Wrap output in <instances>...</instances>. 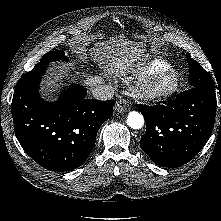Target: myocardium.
<instances>
[{
    "label": "myocardium",
    "instance_id": "obj_1",
    "mask_svg": "<svg viewBox=\"0 0 221 221\" xmlns=\"http://www.w3.org/2000/svg\"><path fill=\"white\" fill-rule=\"evenodd\" d=\"M165 78H169L170 82L164 84ZM180 85L181 76L179 72L169 68L147 75L135 86L134 94L141 100L161 101L175 94Z\"/></svg>",
    "mask_w": 221,
    "mask_h": 221
}]
</instances>
